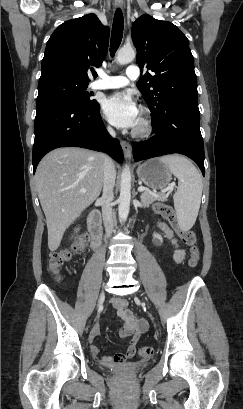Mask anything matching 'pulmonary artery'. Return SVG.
Returning <instances> with one entry per match:
<instances>
[{"mask_svg": "<svg viewBox=\"0 0 243 409\" xmlns=\"http://www.w3.org/2000/svg\"><path fill=\"white\" fill-rule=\"evenodd\" d=\"M140 71L137 66L131 65L126 69V75H107L103 72H99V79L91 83L93 89H115L121 88L127 85L129 80H137L139 78Z\"/></svg>", "mask_w": 243, "mask_h": 409, "instance_id": "obj_1", "label": "pulmonary artery"}]
</instances>
